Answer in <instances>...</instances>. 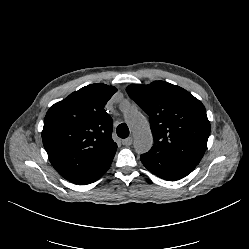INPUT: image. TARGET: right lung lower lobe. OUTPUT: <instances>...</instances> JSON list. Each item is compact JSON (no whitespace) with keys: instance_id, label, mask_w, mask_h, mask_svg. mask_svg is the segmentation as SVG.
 <instances>
[{"instance_id":"obj_1","label":"right lung lower lobe","mask_w":249,"mask_h":249,"mask_svg":"<svg viewBox=\"0 0 249 249\" xmlns=\"http://www.w3.org/2000/svg\"><path fill=\"white\" fill-rule=\"evenodd\" d=\"M112 160H109L101 169H99L96 173H94L92 176L89 178L85 179L84 181L78 183V184H90L92 182H95L98 180L110 167Z\"/></svg>"}]
</instances>
